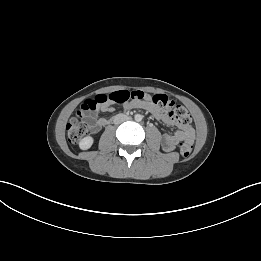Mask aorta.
I'll return each instance as SVG.
<instances>
[{
    "label": "aorta",
    "mask_w": 261,
    "mask_h": 261,
    "mask_svg": "<svg viewBox=\"0 0 261 261\" xmlns=\"http://www.w3.org/2000/svg\"><path fill=\"white\" fill-rule=\"evenodd\" d=\"M134 118H135V120H136L137 122H140V121L142 120L143 116L140 115V114H136V115L134 116Z\"/></svg>",
    "instance_id": "obj_1"
}]
</instances>
